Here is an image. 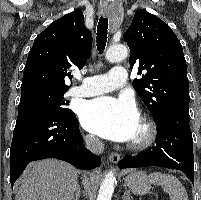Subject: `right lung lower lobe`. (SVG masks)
<instances>
[{
    "label": "right lung lower lobe",
    "instance_id": "1",
    "mask_svg": "<svg viewBox=\"0 0 201 200\" xmlns=\"http://www.w3.org/2000/svg\"><path fill=\"white\" fill-rule=\"evenodd\" d=\"M82 141L74 112L36 108L18 113L10 148L11 186L35 160L57 158L78 169L98 167L100 157L86 149Z\"/></svg>",
    "mask_w": 201,
    "mask_h": 200
}]
</instances>
